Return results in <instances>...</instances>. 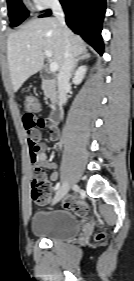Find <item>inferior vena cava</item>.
Wrapping results in <instances>:
<instances>
[{
	"instance_id": "inferior-vena-cava-1",
	"label": "inferior vena cava",
	"mask_w": 134,
	"mask_h": 281,
	"mask_svg": "<svg viewBox=\"0 0 134 281\" xmlns=\"http://www.w3.org/2000/svg\"><path fill=\"white\" fill-rule=\"evenodd\" d=\"M52 11L54 16L62 26L64 30V37H65L64 62L58 74L59 99H60V103L64 105L67 101V90L70 87L69 82L74 70L76 59L72 53L71 44L68 39L67 27L65 24V14L58 0L53 1Z\"/></svg>"
}]
</instances>
